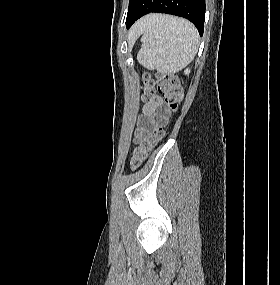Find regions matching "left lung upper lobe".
Returning <instances> with one entry per match:
<instances>
[{"label":"left lung upper lobe","mask_w":280,"mask_h":285,"mask_svg":"<svg viewBox=\"0 0 280 285\" xmlns=\"http://www.w3.org/2000/svg\"><path fill=\"white\" fill-rule=\"evenodd\" d=\"M135 3H136V0H130L127 15L131 12V10L134 7Z\"/></svg>","instance_id":"obj_1"}]
</instances>
